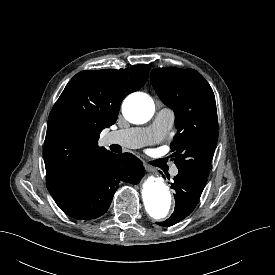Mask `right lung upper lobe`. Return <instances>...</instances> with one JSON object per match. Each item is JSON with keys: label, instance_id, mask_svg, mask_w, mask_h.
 I'll return each instance as SVG.
<instances>
[{"label": "right lung upper lobe", "instance_id": "cb5924a9", "mask_svg": "<svg viewBox=\"0 0 275 275\" xmlns=\"http://www.w3.org/2000/svg\"><path fill=\"white\" fill-rule=\"evenodd\" d=\"M150 67L86 70L66 85L49 115L44 142L46 185L59 192L79 169L109 151L98 146L101 131L117 120L122 100L147 81Z\"/></svg>", "mask_w": 275, "mask_h": 275}]
</instances>
